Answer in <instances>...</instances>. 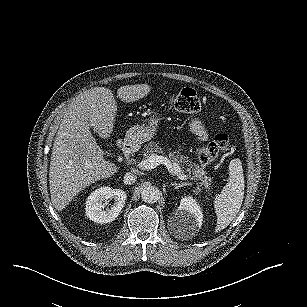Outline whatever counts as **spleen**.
Instances as JSON below:
<instances>
[{
  "mask_svg": "<svg viewBox=\"0 0 307 307\" xmlns=\"http://www.w3.org/2000/svg\"><path fill=\"white\" fill-rule=\"evenodd\" d=\"M244 188L242 162L235 158L229 163V181L214 201L217 216L215 232L225 229L236 217L243 202Z\"/></svg>",
  "mask_w": 307,
  "mask_h": 307,
  "instance_id": "obj_1",
  "label": "spleen"
}]
</instances>
